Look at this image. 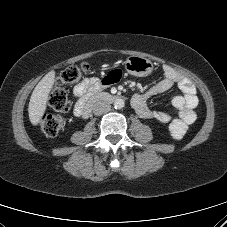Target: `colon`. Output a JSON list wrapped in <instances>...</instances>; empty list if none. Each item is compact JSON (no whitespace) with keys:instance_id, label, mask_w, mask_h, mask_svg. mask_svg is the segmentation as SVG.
Returning a JSON list of instances; mask_svg holds the SVG:
<instances>
[{"instance_id":"5ec220e1","label":"colon","mask_w":227,"mask_h":227,"mask_svg":"<svg viewBox=\"0 0 227 227\" xmlns=\"http://www.w3.org/2000/svg\"><path fill=\"white\" fill-rule=\"evenodd\" d=\"M88 71L89 66L81 64L80 66H71L62 72L49 95V105L53 110L59 113H67L72 110V102L64 86L76 84ZM64 125L65 118L62 115L47 113L40 120L41 131L50 137L57 136Z\"/></svg>"}]
</instances>
